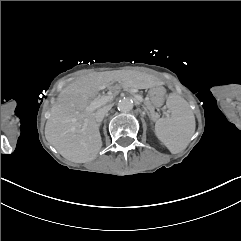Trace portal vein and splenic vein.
Returning <instances> with one entry per match:
<instances>
[{"label":"portal vein and splenic vein","mask_w":241,"mask_h":241,"mask_svg":"<svg viewBox=\"0 0 241 241\" xmlns=\"http://www.w3.org/2000/svg\"><path fill=\"white\" fill-rule=\"evenodd\" d=\"M132 96L134 98H137L138 101L142 100L141 96H138L136 92L132 93ZM113 95H107V96H100L99 98L94 99L90 106L87 108V110H96L97 108L101 107L102 105L111 102L113 100Z\"/></svg>","instance_id":"1"}]
</instances>
